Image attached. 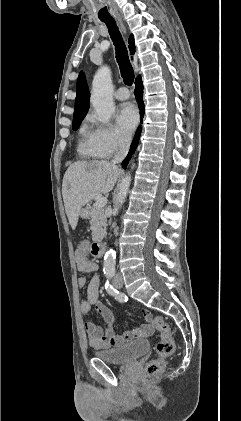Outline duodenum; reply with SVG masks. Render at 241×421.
<instances>
[{
	"label": "duodenum",
	"instance_id": "1",
	"mask_svg": "<svg viewBox=\"0 0 241 421\" xmlns=\"http://www.w3.org/2000/svg\"><path fill=\"white\" fill-rule=\"evenodd\" d=\"M91 248L93 249V255L97 257H101L105 251V244L102 238L95 239L92 244Z\"/></svg>",
	"mask_w": 241,
	"mask_h": 421
}]
</instances>
